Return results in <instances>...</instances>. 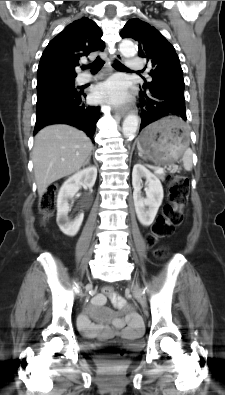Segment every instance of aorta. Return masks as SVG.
Segmentation results:
<instances>
[{
  "mask_svg": "<svg viewBox=\"0 0 225 395\" xmlns=\"http://www.w3.org/2000/svg\"><path fill=\"white\" fill-rule=\"evenodd\" d=\"M119 50L124 57H133L137 54V48L131 41L124 40L119 45ZM139 125V118L135 114L128 115L122 126L123 135L127 138L134 137Z\"/></svg>",
  "mask_w": 225,
  "mask_h": 395,
  "instance_id": "1",
  "label": "aorta"
}]
</instances>
